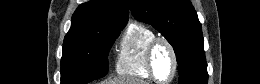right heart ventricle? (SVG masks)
Listing matches in <instances>:
<instances>
[{"instance_id":"e07e8e85","label":"right heart ventricle","mask_w":260,"mask_h":84,"mask_svg":"<svg viewBox=\"0 0 260 84\" xmlns=\"http://www.w3.org/2000/svg\"><path fill=\"white\" fill-rule=\"evenodd\" d=\"M155 33L139 22H131L119 44L115 69L119 75L149 80L146 67L147 47Z\"/></svg>"}]
</instances>
